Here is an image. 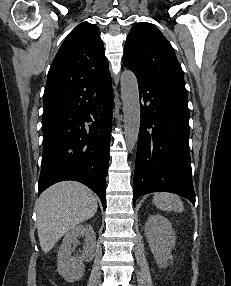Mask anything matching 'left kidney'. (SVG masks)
<instances>
[{
    "label": "left kidney",
    "mask_w": 231,
    "mask_h": 286,
    "mask_svg": "<svg viewBox=\"0 0 231 286\" xmlns=\"http://www.w3.org/2000/svg\"><path fill=\"white\" fill-rule=\"evenodd\" d=\"M144 229L157 265L161 268L167 267L176 242L172 224L164 216L153 214L149 215Z\"/></svg>",
    "instance_id": "1"
}]
</instances>
